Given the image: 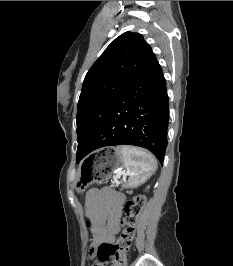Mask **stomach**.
<instances>
[{"instance_id":"0dacf381","label":"stomach","mask_w":233,"mask_h":266,"mask_svg":"<svg viewBox=\"0 0 233 266\" xmlns=\"http://www.w3.org/2000/svg\"><path fill=\"white\" fill-rule=\"evenodd\" d=\"M119 147H96V152H89L87 161H82V166L104 167H77V190L82 191L85 185H100V180H111L114 169L120 167L122 157Z\"/></svg>"}]
</instances>
